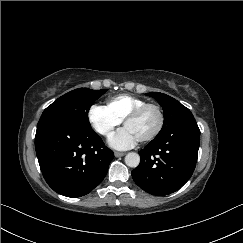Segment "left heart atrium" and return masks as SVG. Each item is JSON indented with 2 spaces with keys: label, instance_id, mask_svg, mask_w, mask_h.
<instances>
[{
  "label": "left heart atrium",
  "instance_id": "obj_1",
  "mask_svg": "<svg viewBox=\"0 0 243 243\" xmlns=\"http://www.w3.org/2000/svg\"><path fill=\"white\" fill-rule=\"evenodd\" d=\"M137 141L134 134L127 127H124L109 137L108 144L116 150H127L134 147Z\"/></svg>",
  "mask_w": 243,
  "mask_h": 243
}]
</instances>
